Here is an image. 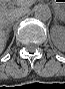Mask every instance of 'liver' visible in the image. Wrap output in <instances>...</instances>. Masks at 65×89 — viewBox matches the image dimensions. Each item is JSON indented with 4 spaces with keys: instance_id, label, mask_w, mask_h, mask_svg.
Wrapping results in <instances>:
<instances>
[{
    "instance_id": "liver-1",
    "label": "liver",
    "mask_w": 65,
    "mask_h": 89,
    "mask_svg": "<svg viewBox=\"0 0 65 89\" xmlns=\"http://www.w3.org/2000/svg\"><path fill=\"white\" fill-rule=\"evenodd\" d=\"M7 1L1 2V10H0V50L1 52L4 51L6 42L8 40V36L5 33V28L9 25L7 21L16 14L25 13L28 11L29 7L33 3L29 0L18 1L17 8H8ZM1 20H5V23H2Z\"/></svg>"
}]
</instances>
